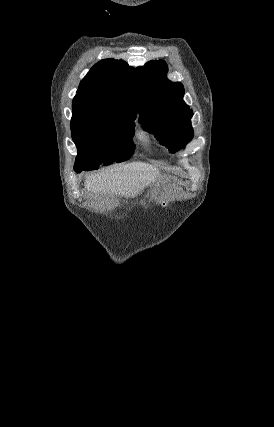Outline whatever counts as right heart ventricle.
<instances>
[{
    "label": "right heart ventricle",
    "mask_w": 274,
    "mask_h": 427,
    "mask_svg": "<svg viewBox=\"0 0 274 427\" xmlns=\"http://www.w3.org/2000/svg\"><path fill=\"white\" fill-rule=\"evenodd\" d=\"M138 140L144 145V149L147 151V152H149V153H152V149H151V147L148 145V141H149V139H148V136L146 135V134H144V133H140L139 135H138Z\"/></svg>",
    "instance_id": "e07e8e85"
}]
</instances>
